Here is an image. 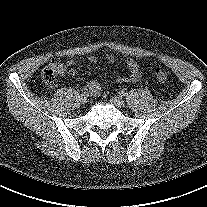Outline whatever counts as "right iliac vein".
<instances>
[{
	"label": "right iliac vein",
	"mask_w": 207,
	"mask_h": 207,
	"mask_svg": "<svg viewBox=\"0 0 207 207\" xmlns=\"http://www.w3.org/2000/svg\"><path fill=\"white\" fill-rule=\"evenodd\" d=\"M80 101L82 104H86L88 102V98H87V95H81L80 96Z\"/></svg>",
	"instance_id": "63e3f726"
}]
</instances>
